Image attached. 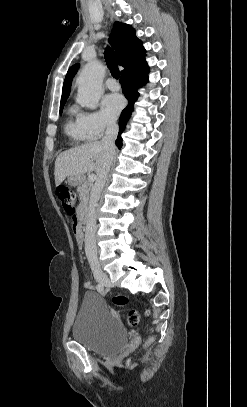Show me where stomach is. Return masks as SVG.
<instances>
[{
  "mask_svg": "<svg viewBox=\"0 0 247 407\" xmlns=\"http://www.w3.org/2000/svg\"><path fill=\"white\" fill-rule=\"evenodd\" d=\"M67 182L72 186H79L84 183L83 176H68Z\"/></svg>",
  "mask_w": 247,
  "mask_h": 407,
  "instance_id": "obj_1",
  "label": "stomach"
}]
</instances>
